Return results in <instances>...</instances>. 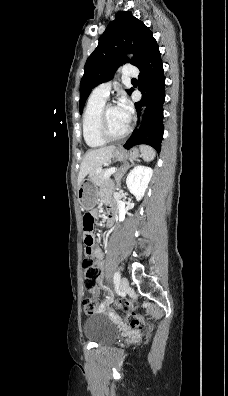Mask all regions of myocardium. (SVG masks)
Listing matches in <instances>:
<instances>
[{
    "label": "myocardium",
    "mask_w": 228,
    "mask_h": 396,
    "mask_svg": "<svg viewBox=\"0 0 228 396\" xmlns=\"http://www.w3.org/2000/svg\"><path fill=\"white\" fill-rule=\"evenodd\" d=\"M114 105L112 103H105V105L102 107L99 117H98V132L101 138H103L105 141H117L125 138L129 132H130V125L127 124L125 130L118 134L114 135L110 133L107 127V111L110 107H113Z\"/></svg>",
    "instance_id": "f54148a6"
}]
</instances>
